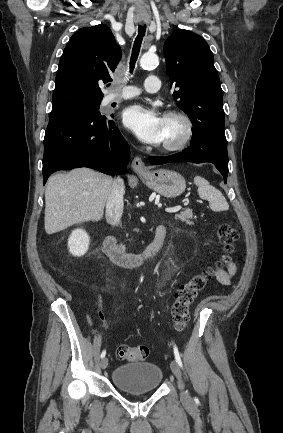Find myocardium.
<instances>
[{
  "mask_svg": "<svg viewBox=\"0 0 283 433\" xmlns=\"http://www.w3.org/2000/svg\"><path fill=\"white\" fill-rule=\"evenodd\" d=\"M164 117L178 118L183 122L184 133L182 137L175 143H164V148L161 153L164 155H176L181 153L189 145L194 137L195 123L192 117L183 110L170 109L164 113Z\"/></svg>",
  "mask_w": 283,
  "mask_h": 433,
  "instance_id": "myocardium-1",
  "label": "myocardium"
}]
</instances>
